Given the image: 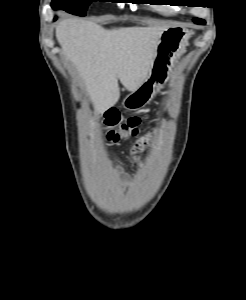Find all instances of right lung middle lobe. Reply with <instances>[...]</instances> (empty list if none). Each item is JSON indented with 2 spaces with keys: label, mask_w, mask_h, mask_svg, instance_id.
<instances>
[{
  "label": "right lung middle lobe",
  "mask_w": 246,
  "mask_h": 300,
  "mask_svg": "<svg viewBox=\"0 0 246 300\" xmlns=\"http://www.w3.org/2000/svg\"><path fill=\"white\" fill-rule=\"evenodd\" d=\"M92 1L105 0H53L51 7L54 10H64L74 15L85 16L86 9Z\"/></svg>",
  "instance_id": "obj_1"
}]
</instances>
